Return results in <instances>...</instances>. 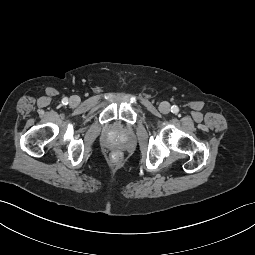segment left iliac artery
<instances>
[{
  "label": "left iliac artery",
  "mask_w": 255,
  "mask_h": 255,
  "mask_svg": "<svg viewBox=\"0 0 255 255\" xmlns=\"http://www.w3.org/2000/svg\"><path fill=\"white\" fill-rule=\"evenodd\" d=\"M178 111H179V108H178L176 105H173V106L171 107V112H172V113L176 114V113H178Z\"/></svg>",
  "instance_id": "left-iliac-artery-1"
}]
</instances>
